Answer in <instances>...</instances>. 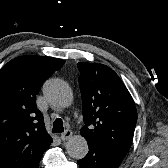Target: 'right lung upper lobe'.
Listing matches in <instances>:
<instances>
[{
	"label": "right lung upper lobe",
	"mask_w": 168,
	"mask_h": 168,
	"mask_svg": "<svg viewBox=\"0 0 168 168\" xmlns=\"http://www.w3.org/2000/svg\"><path fill=\"white\" fill-rule=\"evenodd\" d=\"M63 63L52 57L20 56L0 70V168H38L52 138L35 99Z\"/></svg>",
	"instance_id": "right-lung-upper-lobe-1"
}]
</instances>
